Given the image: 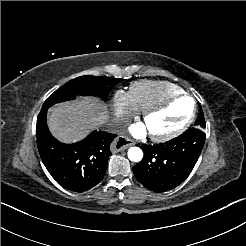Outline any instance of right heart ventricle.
I'll use <instances>...</instances> for the list:
<instances>
[{"label":"right heart ventricle","mask_w":246,"mask_h":246,"mask_svg":"<svg viewBox=\"0 0 246 246\" xmlns=\"http://www.w3.org/2000/svg\"><path fill=\"white\" fill-rule=\"evenodd\" d=\"M181 93L182 89L178 86L162 81L142 80L129 88L133 109L139 112H144Z\"/></svg>","instance_id":"e07e8e85"}]
</instances>
